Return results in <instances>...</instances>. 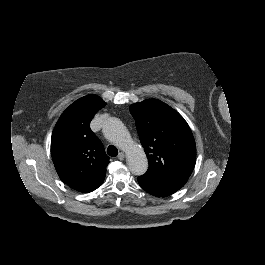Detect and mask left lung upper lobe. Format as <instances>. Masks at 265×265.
<instances>
[{"mask_svg": "<svg viewBox=\"0 0 265 265\" xmlns=\"http://www.w3.org/2000/svg\"><path fill=\"white\" fill-rule=\"evenodd\" d=\"M129 109L149 162L141 177L160 185L183 187L196 162L195 140L187 122L157 99L135 103Z\"/></svg>", "mask_w": 265, "mask_h": 265, "instance_id": "5c2ea615", "label": "left lung upper lobe"}]
</instances>
